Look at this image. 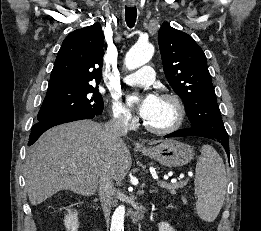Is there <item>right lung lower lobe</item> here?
<instances>
[{"instance_id":"98d812e1","label":"right lung lower lobe","mask_w":261,"mask_h":231,"mask_svg":"<svg viewBox=\"0 0 261 231\" xmlns=\"http://www.w3.org/2000/svg\"><path fill=\"white\" fill-rule=\"evenodd\" d=\"M97 115L98 114L89 113V112H80V113L62 115L43 122H39L32 127L28 146L32 145L41 136L43 132H45L46 130H48L53 126L62 123L76 121V120L92 119Z\"/></svg>"}]
</instances>
